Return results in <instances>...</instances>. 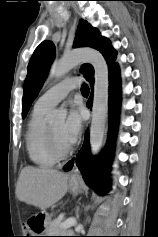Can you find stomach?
Returning a JSON list of instances; mask_svg holds the SVG:
<instances>
[{"mask_svg": "<svg viewBox=\"0 0 158 237\" xmlns=\"http://www.w3.org/2000/svg\"><path fill=\"white\" fill-rule=\"evenodd\" d=\"M69 190L72 192V194L77 195L80 191V184L76 180H70L69 181ZM33 236H43V231H33Z\"/></svg>", "mask_w": 158, "mask_h": 237, "instance_id": "1", "label": "stomach"}]
</instances>
